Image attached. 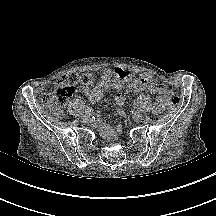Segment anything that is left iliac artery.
Listing matches in <instances>:
<instances>
[{"instance_id": "obj_1", "label": "left iliac artery", "mask_w": 216, "mask_h": 216, "mask_svg": "<svg viewBox=\"0 0 216 216\" xmlns=\"http://www.w3.org/2000/svg\"><path fill=\"white\" fill-rule=\"evenodd\" d=\"M132 113H133V114H136V113H137L136 107H134V109L132 110Z\"/></svg>"}]
</instances>
